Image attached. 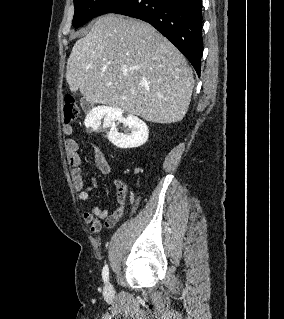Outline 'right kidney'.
<instances>
[{
	"mask_svg": "<svg viewBox=\"0 0 284 319\" xmlns=\"http://www.w3.org/2000/svg\"><path fill=\"white\" fill-rule=\"evenodd\" d=\"M104 119L103 127L109 128L107 138L119 148H136L143 145L149 135L145 122L132 114H125L120 108L98 106L93 108L85 118V126L91 131H96ZM118 121L127 126L124 133L118 132L115 122Z\"/></svg>",
	"mask_w": 284,
	"mask_h": 319,
	"instance_id": "right-kidney-1",
	"label": "right kidney"
}]
</instances>
